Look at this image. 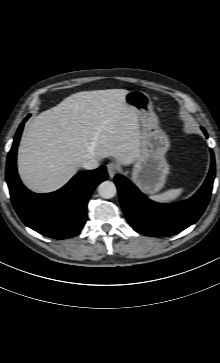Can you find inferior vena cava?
Returning a JSON list of instances; mask_svg holds the SVG:
<instances>
[{
    "mask_svg": "<svg viewBox=\"0 0 220 363\" xmlns=\"http://www.w3.org/2000/svg\"><path fill=\"white\" fill-rule=\"evenodd\" d=\"M99 166V163L95 159H90L82 164V167L86 170H93Z\"/></svg>",
    "mask_w": 220,
    "mask_h": 363,
    "instance_id": "1",
    "label": "inferior vena cava"
}]
</instances>
